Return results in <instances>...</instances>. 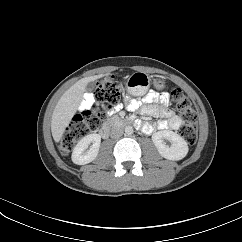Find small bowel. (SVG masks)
Instances as JSON below:
<instances>
[{
    "instance_id": "small-bowel-1",
    "label": "small bowel",
    "mask_w": 242,
    "mask_h": 242,
    "mask_svg": "<svg viewBox=\"0 0 242 242\" xmlns=\"http://www.w3.org/2000/svg\"><path fill=\"white\" fill-rule=\"evenodd\" d=\"M170 101L169 93H157L150 91L143 100L131 99L127 103V108L131 111H138L142 115L155 116L159 117L160 120L153 123H141L140 128L145 133H151L156 128L158 129H179L183 120L176 113L168 108ZM93 102L92 95L86 94L84 100L81 103L82 108H88ZM159 104L158 105H149V104Z\"/></svg>"
}]
</instances>
